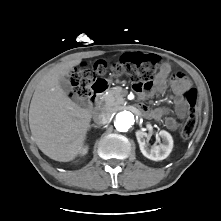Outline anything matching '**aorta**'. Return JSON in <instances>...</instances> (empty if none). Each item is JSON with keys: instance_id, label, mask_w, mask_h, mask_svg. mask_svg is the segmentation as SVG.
<instances>
[{"instance_id": "aorta-1", "label": "aorta", "mask_w": 221, "mask_h": 221, "mask_svg": "<svg viewBox=\"0 0 221 221\" xmlns=\"http://www.w3.org/2000/svg\"><path fill=\"white\" fill-rule=\"evenodd\" d=\"M135 122V116L132 112L124 110L116 115L114 126L120 132L128 131Z\"/></svg>"}]
</instances>
